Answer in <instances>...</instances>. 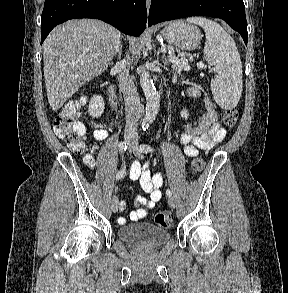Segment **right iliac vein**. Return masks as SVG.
I'll use <instances>...</instances> for the list:
<instances>
[{
  "label": "right iliac vein",
  "mask_w": 288,
  "mask_h": 293,
  "mask_svg": "<svg viewBox=\"0 0 288 293\" xmlns=\"http://www.w3.org/2000/svg\"><path fill=\"white\" fill-rule=\"evenodd\" d=\"M125 142L127 143V147H128V149H129L130 151H132V150H133V146H134L133 141H132L131 139L127 138V139L125 140ZM118 208H119V200H118V198H117L116 196H114V197L112 198V201H111V209H112V211L115 213V212L118 211Z\"/></svg>",
  "instance_id": "obj_1"
}]
</instances>
